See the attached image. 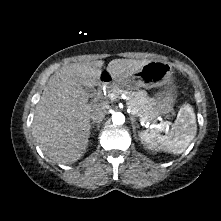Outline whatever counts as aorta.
<instances>
[{
    "label": "aorta",
    "mask_w": 221,
    "mask_h": 221,
    "mask_svg": "<svg viewBox=\"0 0 221 221\" xmlns=\"http://www.w3.org/2000/svg\"><path fill=\"white\" fill-rule=\"evenodd\" d=\"M112 122L115 125H121L125 122V116L121 112H114L112 114Z\"/></svg>",
    "instance_id": "aorta-1"
}]
</instances>
